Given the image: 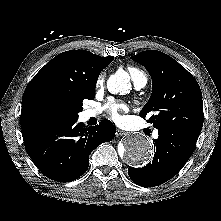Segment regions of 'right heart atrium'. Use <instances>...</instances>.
<instances>
[{
	"instance_id": "1",
	"label": "right heart atrium",
	"mask_w": 221,
	"mask_h": 221,
	"mask_svg": "<svg viewBox=\"0 0 221 221\" xmlns=\"http://www.w3.org/2000/svg\"><path fill=\"white\" fill-rule=\"evenodd\" d=\"M102 85H103V77L100 76V77L98 78V80H97V86H98V87H101Z\"/></svg>"
}]
</instances>
